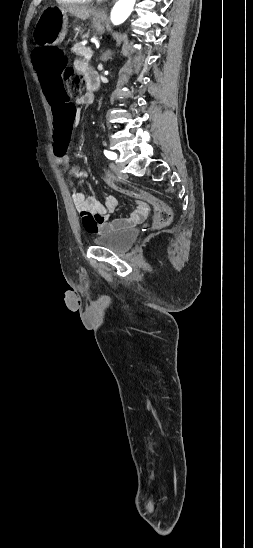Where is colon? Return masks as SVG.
<instances>
[{"instance_id": "1", "label": "colon", "mask_w": 253, "mask_h": 548, "mask_svg": "<svg viewBox=\"0 0 253 548\" xmlns=\"http://www.w3.org/2000/svg\"><path fill=\"white\" fill-rule=\"evenodd\" d=\"M33 62L36 70L41 74V86L43 95L47 96V103L51 105L53 120L52 151L57 159L65 156V150L69 148L68 139L74 132V121L77 112L72 98H69L65 89V79L68 93L72 97L81 95L84 88L83 78L72 69L66 68L67 56L57 46L36 49L33 52ZM64 76H63V71ZM103 181L107 189L113 192H121L128 196L140 198L151 204L155 211V222L159 227L167 226L172 221L171 208L154 194L138 187L119 182V177L110 176L107 170H101Z\"/></svg>"}]
</instances>
